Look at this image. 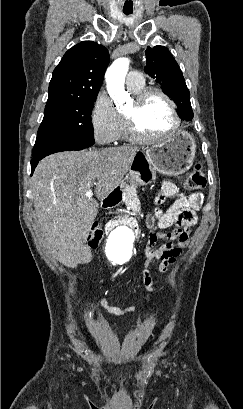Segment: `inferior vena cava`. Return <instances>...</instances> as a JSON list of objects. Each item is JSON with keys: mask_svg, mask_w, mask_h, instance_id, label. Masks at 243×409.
Segmentation results:
<instances>
[{"mask_svg": "<svg viewBox=\"0 0 243 409\" xmlns=\"http://www.w3.org/2000/svg\"><path fill=\"white\" fill-rule=\"evenodd\" d=\"M97 143H98V144H103L100 140H97Z\"/></svg>", "mask_w": 243, "mask_h": 409, "instance_id": "1", "label": "inferior vena cava"}]
</instances>
